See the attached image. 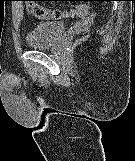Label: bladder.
Here are the masks:
<instances>
[{
    "label": "bladder",
    "mask_w": 135,
    "mask_h": 161,
    "mask_svg": "<svg viewBox=\"0 0 135 161\" xmlns=\"http://www.w3.org/2000/svg\"><path fill=\"white\" fill-rule=\"evenodd\" d=\"M65 33V25L59 21H44L36 24L27 34L26 45L31 49H46L55 46Z\"/></svg>",
    "instance_id": "obj_1"
}]
</instances>
